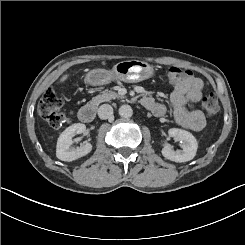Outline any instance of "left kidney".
I'll use <instances>...</instances> for the list:
<instances>
[{"label":"left kidney","mask_w":245,"mask_h":245,"mask_svg":"<svg viewBox=\"0 0 245 245\" xmlns=\"http://www.w3.org/2000/svg\"><path fill=\"white\" fill-rule=\"evenodd\" d=\"M169 137L181 142L182 150L174 151L172 146L166 143L162 149V155L174 162H187L192 160L197 152L198 143L196 138L188 131L171 128L168 130Z\"/></svg>","instance_id":"left-kidney-1"}]
</instances>
